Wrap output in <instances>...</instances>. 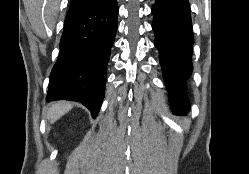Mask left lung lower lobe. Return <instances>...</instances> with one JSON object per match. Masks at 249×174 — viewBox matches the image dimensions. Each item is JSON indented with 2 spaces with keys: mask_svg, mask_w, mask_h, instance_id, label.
I'll return each instance as SVG.
<instances>
[{
  "mask_svg": "<svg viewBox=\"0 0 249 174\" xmlns=\"http://www.w3.org/2000/svg\"><path fill=\"white\" fill-rule=\"evenodd\" d=\"M155 46L174 113L189 109L185 80L192 72L193 29L188 0H156L152 7Z\"/></svg>",
  "mask_w": 249,
  "mask_h": 174,
  "instance_id": "obj_1",
  "label": "left lung lower lobe"
}]
</instances>
